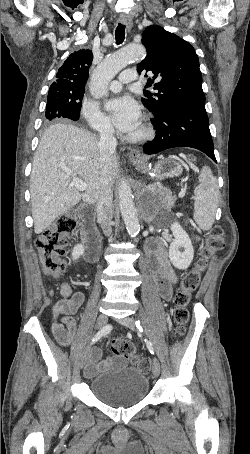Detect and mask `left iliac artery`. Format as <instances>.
Here are the masks:
<instances>
[{"mask_svg":"<svg viewBox=\"0 0 250 454\" xmlns=\"http://www.w3.org/2000/svg\"><path fill=\"white\" fill-rule=\"evenodd\" d=\"M136 326H137L139 332H143V328L140 324V320H136ZM145 342H146V345H147L150 353L154 354V349H153L151 342L148 339H145Z\"/></svg>","mask_w":250,"mask_h":454,"instance_id":"obj_1","label":"left iliac artery"}]
</instances>
